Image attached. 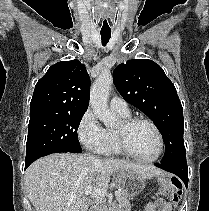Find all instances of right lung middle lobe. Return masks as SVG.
Wrapping results in <instances>:
<instances>
[{"label": "right lung middle lobe", "mask_w": 209, "mask_h": 211, "mask_svg": "<svg viewBox=\"0 0 209 211\" xmlns=\"http://www.w3.org/2000/svg\"><path fill=\"white\" fill-rule=\"evenodd\" d=\"M84 113L30 115L25 164L61 151L82 152L77 129Z\"/></svg>", "instance_id": "1"}]
</instances>
